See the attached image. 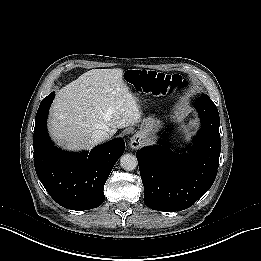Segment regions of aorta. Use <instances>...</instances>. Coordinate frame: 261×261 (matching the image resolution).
I'll use <instances>...</instances> for the list:
<instances>
[{"label": "aorta", "instance_id": "obj_1", "mask_svg": "<svg viewBox=\"0 0 261 261\" xmlns=\"http://www.w3.org/2000/svg\"><path fill=\"white\" fill-rule=\"evenodd\" d=\"M137 165V158L133 154H124L120 158V166L125 171H133L134 169H136Z\"/></svg>", "mask_w": 261, "mask_h": 261}]
</instances>
